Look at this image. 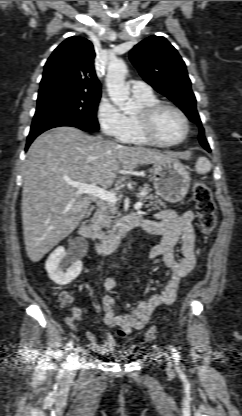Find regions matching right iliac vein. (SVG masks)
<instances>
[{
	"label": "right iliac vein",
	"instance_id": "63e3f726",
	"mask_svg": "<svg viewBox=\"0 0 242 416\" xmlns=\"http://www.w3.org/2000/svg\"><path fill=\"white\" fill-rule=\"evenodd\" d=\"M77 356H78V354H77V351L76 350H74L72 353H71V363H70V365L69 366H71V369L73 370L74 369V367H75V365H74V363H75V361H76V359H77Z\"/></svg>",
	"mask_w": 242,
	"mask_h": 416
}]
</instances>
